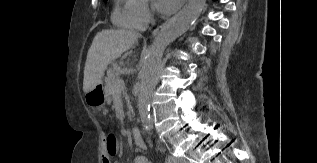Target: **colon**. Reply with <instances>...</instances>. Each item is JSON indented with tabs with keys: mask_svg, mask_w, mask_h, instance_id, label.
Returning <instances> with one entry per match:
<instances>
[{
	"mask_svg": "<svg viewBox=\"0 0 317 163\" xmlns=\"http://www.w3.org/2000/svg\"><path fill=\"white\" fill-rule=\"evenodd\" d=\"M105 143H106L108 156H110V157L114 156L117 152V140H116L115 135L111 132L108 133L105 136Z\"/></svg>",
	"mask_w": 317,
	"mask_h": 163,
	"instance_id": "1",
	"label": "colon"
}]
</instances>
